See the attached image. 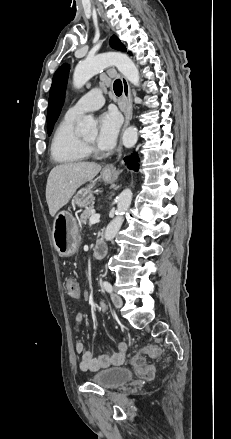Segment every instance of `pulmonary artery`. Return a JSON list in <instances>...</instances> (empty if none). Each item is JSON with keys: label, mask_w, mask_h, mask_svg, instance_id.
I'll list each match as a JSON object with an SVG mask.
<instances>
[{"label": "pulmonary artery", "mask_w": 231, "mask_h": 439, "mask_svg": "<svg viewBox=\"0 0 231 439\" xmlns=\"http://www.w3.org/2000/svg\"><path fill=\"white\" fill-rule=\"evenodd\" d=\"M103 91L100 88H94L83 95L73 106H71L66 115L69 117L79 118L86 112L95 111L104 105Z\"/></svg>", "instance_id": "e3ab8cb5"}]
</instances>
